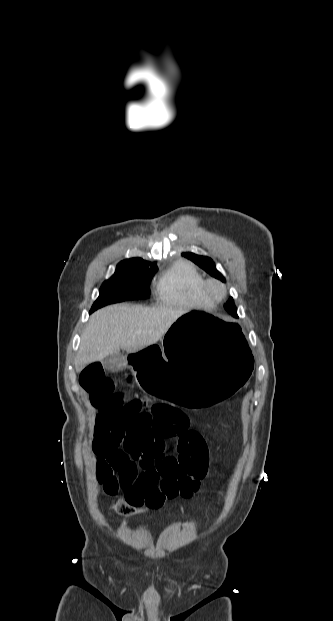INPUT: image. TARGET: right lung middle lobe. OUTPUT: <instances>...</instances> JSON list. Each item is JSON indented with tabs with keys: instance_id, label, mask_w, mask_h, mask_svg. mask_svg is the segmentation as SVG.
Returning a JSON list of instances; mask_svg holds the SVG:
<instances>
[{
	"instance_id": "1",
	"label": "right lung middle lobe",
	"mask_w": 333,
	"mask_h": 621,
	"mask_svg": "<svg viewBox=\"0 0 333 621\" xmlns=\"http://www.w3.org/2000/svg\"><path fill=\"white\" fill-rule=\"evenodd\" d=\"M156 271L157 267L118 264L114 275L101 286L90 313L111 303L148 299L149 283Z\"/></svg>"
}]
</instances>
